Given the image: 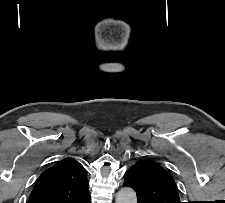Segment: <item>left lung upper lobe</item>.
<instances>
[{
	"label": "left lung upper lobe",
	"mask_w": 225,
	"mask_h": 203,
	"mask_svg": "<svg viewBox=\"0 0 225 203\" xmlns=\"http://www.w3.org/2000/svg\"><path fill=\"white\" fill-rule=\"evenodd\" d=\"M124 178L123 185L136 191L138 203H181L173 177L153 160L137 161Z\"/></svg>",
	"instance_id": "5c2ea615"
}]
</instances>
